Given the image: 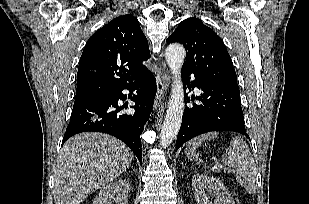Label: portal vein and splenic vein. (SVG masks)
Masks as SVG:
<instances>
[{
  "label": "portal vein and splenic vein",
  "instance_id": "portal-vein-and-splenic-vein-1",
  "mask_svg": "<svg viewBox=\"0 0 309 204\" xmlns=\"http://www.w3.org/2000/svg\"><path fill=\"white\" fill-rule=\"evenodd\" d=\"M218 167H220V166H219L218 162L216 161L214 168H218Z\"/></svg>",
  "mask_w": 309,
  "mask_h": 204
}]
</instances>
